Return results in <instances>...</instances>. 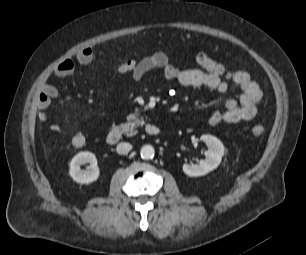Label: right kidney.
<instances>
[{
    "mask_svg": "<svg viewBox=\"0 0 306 255\" xmlns=\"http://www.w3.org/2000/svg\"><path fill=\"white\" fill-rule=\"evenodd\" d=\"M90 163L87 170H82L81 165ZM69 174L72 179L80 184H89L99 177L96 156L91 152H80L75 155L70 162Z\"/></svg>",
    "mask_w": 306,
    "mask_h": 255,
    "instance_id": "1",
    "label": "right kidney"
}]
</instances>
